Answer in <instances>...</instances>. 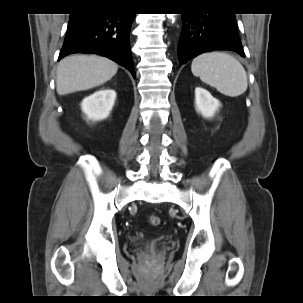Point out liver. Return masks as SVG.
Returning a JSON list of instances; mask_svg holds the SVG:
<instances>
[{"instance_id": "1", "label": "liver", "mask_w": 303, "mask_h": 303, "mask_svg": "<svg viewBox=\"0 0 303 303\" xmlns=\"http://www.w3.org/2000/svg\"><path fill=\"white\" fill-rule=\"evenodd\" d=\"M118 65L97 55H72L62 59L57 68L56 90L66 95L99 86L110 80Z\"/></svg>"}]
</instances>
